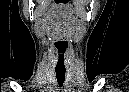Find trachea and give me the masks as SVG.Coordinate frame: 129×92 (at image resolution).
Here are the masks:
<instances>
[{"mask_svg": "<svg viewBox=\"0 0 129 92\" xmlns=\"http://www.w3.org/2000/svg\"><path fill=\"white\" fill-rule=\"evenodd\" d=\"M56 78L59 86H63L65 81V71H56Z\"/></svg>", "mask_w": 129, "mask_h": 92, "instance_id": "obj_1", "label": "trachea"}]
</instances>
